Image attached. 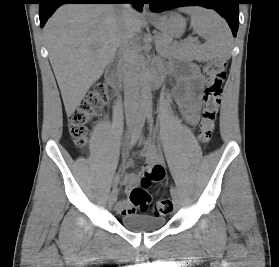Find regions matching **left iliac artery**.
<instances>
[{
    "mask_svg": "<svg viewBox=\"0 0 279 267\" xmlns=\"http://www.w3.org/2000/svg\"><path fill=\"white\" fill-rule=\"evenodd\" d=\"M147 122H148V125H149V130L152 133L153 132V117H152L151 113H147ZM170 193H171L172 196L177 194V191H176L175 187L172 186V185L170 187Z\"/></svg>",
    "mask_w": 279,
    "mask_h": 267,
    "instance_id": "1",
    "label": "left iliac artery"
}]
</instances>
